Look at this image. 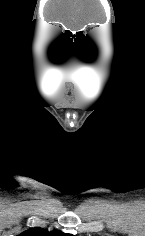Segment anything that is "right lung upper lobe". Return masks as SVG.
<instances>
[{
	"label": "right lung upper lobe",
	"instance_id": "1",
	"mask_svg": "<svg viewBox=\"0 0 145 236\" xmlns=\"http://www.w3.org/2000/svg\"><path fill=\"white\" fill-rule=\"evenodd\" d=\"M18 236H73V235L66 234L58 230L48 232L42 228L35 227L19 234Z\"/></svg>",
	"mask_w": 145,
	"mask_h": 236
}]
</instances>
